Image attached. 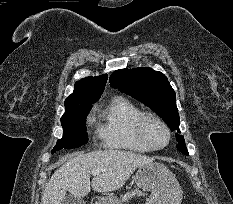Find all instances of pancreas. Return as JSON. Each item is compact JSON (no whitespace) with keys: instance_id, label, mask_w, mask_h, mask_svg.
<instances>
[{"instance_id":"pancreas-1","label":"pancreas","mask_w":233,"mask_h":204,"mask_svg":"<svg viewBox=\"0 0 233 204\" xmlns=\"http://www.w3.org/2000/svg\"><path fill=\"white\" fill-rule=\"evenodd\" d=\"M146 194L142 191H140L139 189H135V190H132L128 193H126L123 197H122V200L119 204H122V203H126V202H129V200H131L133 197L135 196H145Z\"/></svg>"}]
</instances>
